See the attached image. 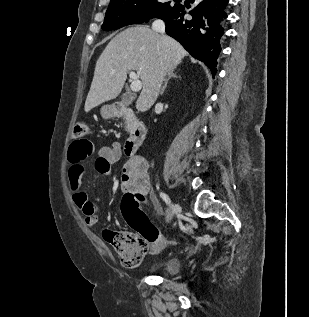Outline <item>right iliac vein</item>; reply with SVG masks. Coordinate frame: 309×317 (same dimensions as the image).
<instances>
[{
    "mask_svg": "<svg viewBox=\"0 0 309 317\" xmlns=\"http://www.w3.org/2000/svg\"><path fill=\"white\" fill-rule=\"evenodd\" d=\"M176 209H177L176 204L172 202L169 206V209H168L167 223H169L173 219V216H174Z\"/></svg>",
    "mask_w": 309,
    "mask_h": 317,
    "instance_id": "1",
    "label": "right iliac vein"
}]
</instances>
